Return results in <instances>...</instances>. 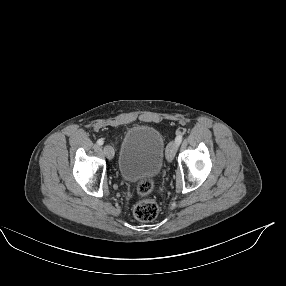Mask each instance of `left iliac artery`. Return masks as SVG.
Returning a JSON list of instances; mask_svg holds the SVG:
<instances>
[{"label": "left iliac artery", "instance_id": "obj_1", "mask_svg": "<svg viewBox=\"0 0 286 286\" xmlns=\"http://www.w3.org/2000/svg\"><path fill=\"white\" fill-rule=\"evenodd\" d=\"M182 139H183L182 133L177 134V136L175 138L176 144L179 145L181 143Z\"/></svg>", "mask_w": 286, "mask_h": 286}]
</instances>
